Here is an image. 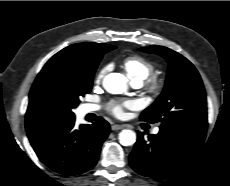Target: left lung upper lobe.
Returning <instances> with one entry per match:
<instances>
[{
	"label": "left lung upper lobe",
	"instance_id": "left-lung-upper-lobe-1",
	"mask_svg": "<svg viewBox=\"0 0 230 186\" xmlns=\"http://www.w3.org/2000/svg\"><path fill=\"white\" fill-rule=\"evenodd\" d=\"M164 57L169 69L164 90L158 99L146 108L140 118L161 126L179 123H207L205 89L198 71L181 54L157 45L140 49Z\"/></svg>",
	"mask_w": 230,
	"mask_h": 186
}]
</instances>
